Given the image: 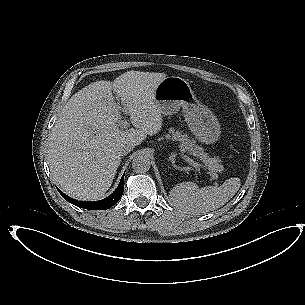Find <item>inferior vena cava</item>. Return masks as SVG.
Returning a JSON list of instances; mask_svg holds the SVG:
<instances>
[{
    "label": "inferior vena cava",
    "mask_w": 305,
    "mask_h": 305,
    "mask_svg": "<svg viewBox=\"0 0 305 305\" xmlns=\"http://www.w3.org/2000/svg\"><path fill=\"white\" fill-rule=\"evenodd\" d=\"M135 147V144H133L132 142H123L120 145V151L122 154H127L130 151H132Z\"/></svg>",
    "instance_id": "1"
}]
</instances>
